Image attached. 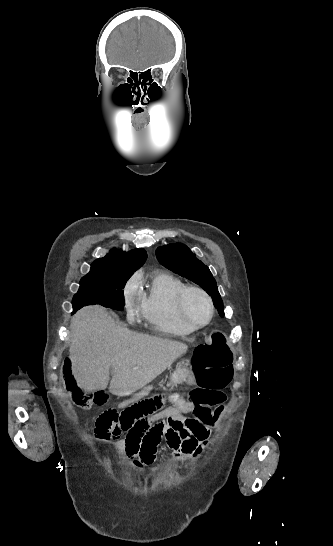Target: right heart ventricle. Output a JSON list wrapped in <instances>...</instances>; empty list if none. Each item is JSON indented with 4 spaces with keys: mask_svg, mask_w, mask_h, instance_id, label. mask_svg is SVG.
<instances>
[{
    "mask_svg": "<svg viewBox=\"0 0 333 546\" xmlns=\"http://www.w3.org/2000/svg\"><path fill=\"white\" fill-rule=\"evenodd\" d=\"M186 284L166 273L153 274L141 293L144 320L155 329L174 337H187L194 329L187 326L178 313L177 297Z\"/></svg>",
    "mask_w": 333,
    "mask_h": 546,
    "instance_id": "e07e8e85",
    "label": "right heart ventricle"
}]
</instances>
